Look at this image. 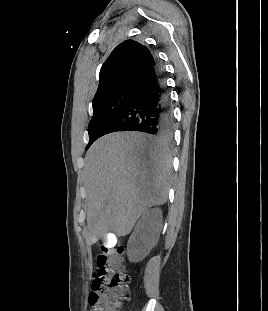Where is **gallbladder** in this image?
<instances>
[{
	"label": "gallbladder",
	"mask_w": 268,
	"mask_h": 311,
	"mask_svg": "<svg viewBox=\"0 0 268 311\" xmlns=\"http://www.w3.org/2000/svg\"><path fill=\"white\" fill-rule=\"evenodd\" d=\"M104 245L108 248L111 249L115 245L116 241V236L114 232H105L104 233Z\"/></svg>",
	"instance_id": "gallbladder-1"
}]
</instances>
